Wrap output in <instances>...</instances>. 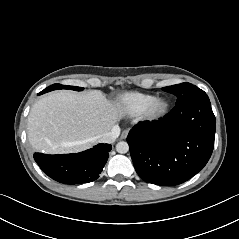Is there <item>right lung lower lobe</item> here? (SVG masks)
I'll return each mask as SVG.
<instances>
[{"label": "right lung lower lobe", "instance_id": "1", "mask_svg": "<svg viewBox=\"0 0 239 239\" xmlns=\"http://www.w3.org/2000/svg\"><path fill=\"white\" fill-rule=\"evenodd\" d=\"M39 94H43L40 92ZM111 145L98 144L93 148L63 155L35 153L34 159L49 177L63 184H80L96 180L109 157Z\"/></svg>", "mask_w": 239, "mask_h": 239}]
</instances>
